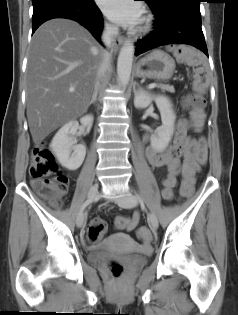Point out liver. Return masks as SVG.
Instances as JSON below:
<instances>
[{"mask_svg": "<svg viewBox=\"0 0 238 315\" xmlns=\"http://www.w3.org/2000/svg\"><path fill=\"white\" fill-rule=\"evenodd\" d=\"M102 56L93 36L75 21L52 19L37 29L26 78L27 118L35 144L87 111Z\"/></svg>", "mask_w": 238, "mask_h": 315, "instance_id": "liver-1", "label": "liver"}]
</instances>
